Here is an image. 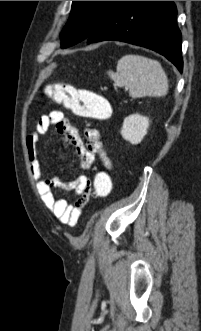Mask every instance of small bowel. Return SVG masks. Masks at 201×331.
Instances as JSON below:
<instances>
[{"label": "small bowel", "instance_id": "1", "mask_svg": "<svg viewBox=\"0 0 201 331\" xmlns=\"http://www.w3.org/2000/svg\"><path fill=\"white\" fill-rule=\"evenodd\" d=\"M50 126L56 127L61 139L71 146L78 155L80 169H89L96 158H99L104 170L109 173L112 164L103 148L100 133L96 128L86 127L83 139L78 129L73 127L63 112L59 110L51 111L38 119L35 131L29 134L26 139L31 172L45 207L62 224L72 227L78 223L83 208L89 200L91 181L86 175H79L70 181L43 175L37 141L38 136L46 133ZM54 189L76 191L78 199L73 204H69L65 199L57 198L53 192Z\"/></svg>", "mask_w": 201, "mask_h": 331}]
</instances>
